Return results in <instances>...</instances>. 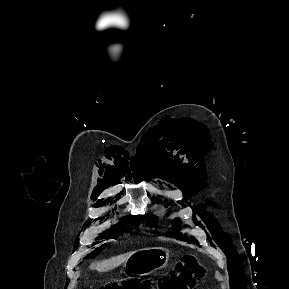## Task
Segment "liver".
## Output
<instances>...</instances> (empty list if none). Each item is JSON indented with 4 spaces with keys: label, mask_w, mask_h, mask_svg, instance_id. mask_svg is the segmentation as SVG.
Segmentation results:
<instances>
[{
    "label": "liver",
    "mask_w": 289,
    "mask_h": 289,
    "mask_svg": "<svg viewBox=\"0 0 289 289\" xmlns=\"http://www.w3.org/2000/svg\"><path fill=\"white\" fill-rule=\"evenodd\" d=\"M134 252H129L123 255H119L116 257H112L108 260H103L99 262L92 263L90 268L95 269L98 272H106L109 271L122 263L126 262V260L133 255Z\"/></svg>",
    "instance_id": "liver-1"
}]
</instances>
